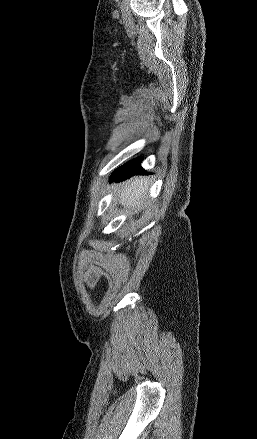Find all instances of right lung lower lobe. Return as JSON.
I'll list each match as a JSON object with an SVG mask.
<instances>
[{"instance_id": "obj_1", "label": "right lung lower lobe", "mask_w": 257, "mask_h": 439, "mask_svg": "<svg viewBox=\"0 0 257 439\" xmlns=\"http://www.w3.org/2000/svg\"><path fill=\"white\" fill-rule=\"evenodd\" d=\"M141 160L142 157H138L119 167L117 170H115V172L112 173L110 181H121L131 177L132 175L144 173L145 170L140 166Z\"/></svg>"}]
</instances>
